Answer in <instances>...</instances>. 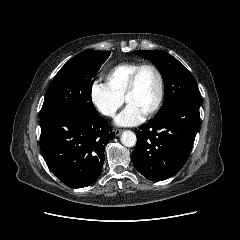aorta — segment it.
Returning <instances> with one entry per match:
<instances>
[{"instance_id":"obj_1","label":"aorta","mask_w":240,"mask_h":240,"mask_svg":"<svg viewBox=\"0 0 240 240\" xmlns=\"http://www.w3.org/2000/svg\"><path fill=\"white\" fill-rule=\"evenodd\" d=\"M136 135L130 130H126L120 137L121 143L126 147H133L136 144Z\"/></svg>"}]
</instances>
